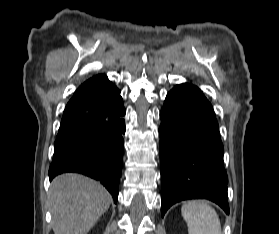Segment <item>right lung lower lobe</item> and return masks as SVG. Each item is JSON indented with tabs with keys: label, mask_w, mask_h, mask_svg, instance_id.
<instances>
[{
	"label": "right lung lower lobe",
	"mask_w": 279,
	"mask_h": 234,
	"mask_svg": "<svg viewBox=\"0 0 279 234\" xmlns=\"http://www.w3.org/2000/svg\"><path fill=\"white\" fill-rule=\"evenodd\" d=\"M126 111L118 88L106 75L84 82L68 102L54 143L52 180L76 172L99 180L118 200Z\"/></svg>",
	"instance_id": "obj_1"
}]
</instances>
